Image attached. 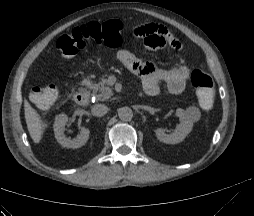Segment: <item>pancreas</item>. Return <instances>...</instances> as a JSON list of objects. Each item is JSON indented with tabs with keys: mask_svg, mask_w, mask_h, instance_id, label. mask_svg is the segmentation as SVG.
Returning <instances> with one entry per match:
<instances>
[{
	"mask_svg": "<svg viewBox=\"0 0 254 216\" xmlns=\"http://www.w3.org/2000/svg\"><path fill=\"white\" fill-rule=\"evenodd\" d=\"M88 88L93 91V96L96 97L97 101H105L113 95L111 88L107 84L106 78H103L97 84L89 83Z\"/></svg>",
	"mask_w": 254,
	"mask_h": 216,
	"instance_id": "1",
	"label": "pancreas"
}]
</instances>
